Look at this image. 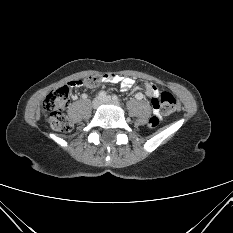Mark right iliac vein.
Listing matches in <instances>:
<instances>
[{
  "instance_id": "1",
  "label": "right iliac vein",
  "mask_w": 233,
  "mask_h": 233,
  "mask_svg": "<svg viewBox=\"0 0 233 233\" xmlns=\"http://www.w3.org/2000/svg\"><path fill=\"white\" fill-rule=\"evenodd\" d=\"M101 104H102V99L100 97H96L92 102V106L94 109H97Z\"/></svg>"
}]
</instances>
